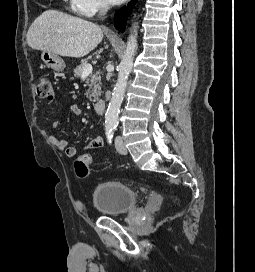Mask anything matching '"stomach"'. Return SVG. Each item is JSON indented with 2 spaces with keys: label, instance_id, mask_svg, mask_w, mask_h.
Segmentation results:
<instances>
[{
  "label": "stomach",
  "instance_id": "stomach-1",
  "mask_svg": "<svg viewBox=\"0 0 255 272\" xmlns=\"http://www.w3.org/2000/svg\"><path fill=\"white\" fill-rule=\"evenodd\" d=\"M41 59L48 68H51L54 71L62 72L65 68L63 59L57 54L43 51L41 53Z\"/></svg>",
  "mask_w": 255,
  "mask_h": 272
}]
</instances>
